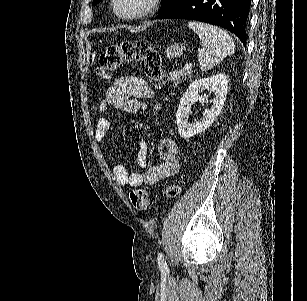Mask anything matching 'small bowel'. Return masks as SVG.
I'll use <instances>...</instances> for the list:
<instances>
[{
	"label": "small bowel",
	"instance_id": "small-bowel-1",
	"mask_svg": "<svg viewBox=\"0 0 307 301\" xmlns=\"http://www.w3.org/2000/svg\"><path fill=\"white\" fill-rule=\"evenodd\" d=\"M153 96L152 87L141 77H121L107 90L104 99L99 104V111L106 113L110 106H114L127 112L136 113L144 109L146 107L144 101L152 99ZM110 127L111 122L108 118H99L96 124L95 138L100 142L105 141ZM177 155L178 146L175 141L170 138L163 139L159 145L161 163L146 168L148 146L145 141H140L136 158L144 171L130 174L124 166L116 165L113 168V178L122 186L154 185L178 172Z\"/></svg>",
	"mask_w": 307,
	"mask_h": 301
}]
</instances>
